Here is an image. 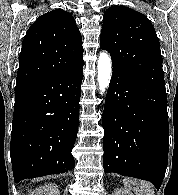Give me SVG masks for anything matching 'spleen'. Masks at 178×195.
<instances>
[{
    "label": "spleen",
    "mask_w": 178,
    "mask_h": 195,
    "mask_svg": "<svg viewBox=\"0 0 178 195\" xmlns=\"http://www.w3.org/2000/svg\"><path fill=\"white\" fill-rule=\"evenodd\" d=\"M123 184L136 195H154L153 186L149 182L127 178L123 180Z\"/></svg>",
    "instance_id": "1"
}]
</instances>
